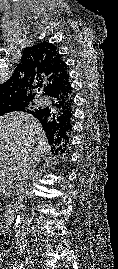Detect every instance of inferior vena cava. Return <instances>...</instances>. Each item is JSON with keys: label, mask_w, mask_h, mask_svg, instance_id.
<instances>
[{"label": "inferior vena cava", "mask_w": 118, "mask_h": 269, "mask_svg": "<svg viewBox=\"0 0 118 269\" xmlns=\"http://www.w3.org/2000/svg\"><path fill=\"white\" fill-rule=\"evenodd\" d=\"M35 164L23 162L19 166V170L16 172V187H17V197L16 203L20 209L24 207V193L28 186V182L33 175V167ZM19 243V242H18ZM21 245V243H19Z\"/></svg>", "instance_id": "obj_1"}]
</instances>
